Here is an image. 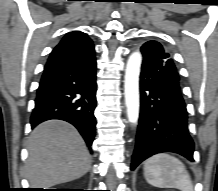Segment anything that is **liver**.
<instances>
[{
    "label": "liver",
    "mask_w": 218,
    "mask_h": 191,
    "mask_svg": "<svg viewBox=\"0 0 218 191\" xmlns=\"http://www.w3.org/2000/svg\"><path fill=\"white\" fill-rule=\"evenodd\" d=\"M91 157L84 140L70 124L50 120L38 125L28 141L26 176L32 188H47L85 175Z\"/></svg>",
    "instance_id": "1"
}]
</instances>
